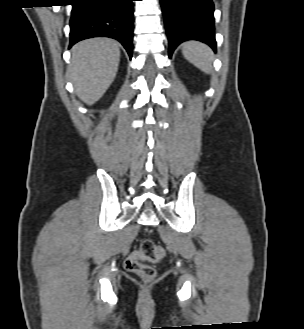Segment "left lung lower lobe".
Returning <instances> with one entry per match:
<instances>
[{"instance_id":"obj_1","label":"left lung lower lobe","mask_w":304,"mask_h":329,"mask_svg":"<svg viewBox=\"0 0 304 329\" xmlns=\"http://www.w3.org/2000/svg\"><path fill=\"white\" fill-rule=\"evenodd\" d=\"M169 57L186 40H198L216 51L212 0H161Z\"/></svg>"}]
</instances>
